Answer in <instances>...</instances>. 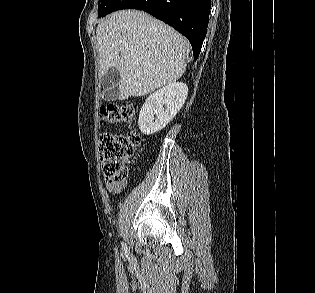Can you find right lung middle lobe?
Returning a JSON list of instances; mask_svg holds the SVG:
<instances>
[{"label": "right lung middle lobe", "mask_w": 315, "mask_h": 293, "mask_svg": "<svg viewBox=\"0 0 315 293\" xmlns=\"http://www.w3.org/2000/svg\"><path fill=\"white\" fill-rule=\"evenodd\" d=\"M112 0H100L98 4V17H102V15L106 12L109 3Z\"/></svg>", "instance_id": "1"}]
</instances>
